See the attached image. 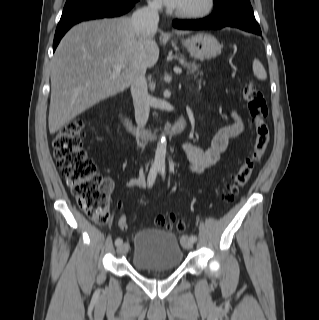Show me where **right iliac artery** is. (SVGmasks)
Listing matches in <instances>:
<instances>
[{
	"label": "right iliac artery",
	"mask_w": 319,
	"mask_h": 320,
	"mask_svg": "<svg viewBox=\"0 0 319 320\" xmlns=\"http://www.w3.org/2000/svg\"><path fill=\"white\" fill-rule=\"evenodd\" d=\"M159 168L157 167H152L150 169L149 175H148V186L151 187L155 181L157 172H158ZM123 243V240L121 238H117L115 240V245L116 246H120Z\"/></svg>",
	"instance_id": "82829eb1"
}]
</instances>
